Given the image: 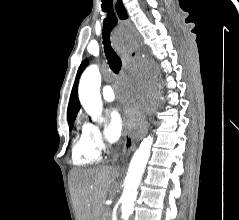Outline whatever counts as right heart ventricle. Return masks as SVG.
<instances>
[{"label":"right heart ventricle","instance_id":"1","mask_svg":"<svg viewBox=\"0 0 239 220\" xmlns=\"http://www.w3.org/2000/svg\"><path fill=\"white\" fill-rule=\"evenodd\" d=\"M100 159L99 153L91 146L82 130L72 148V161L78 166H87Z\"/></svg>","mask_w":239,"mask_h":220}]
</instances>
